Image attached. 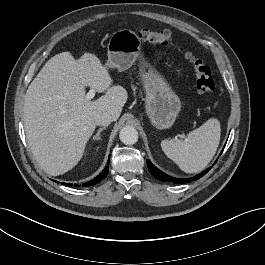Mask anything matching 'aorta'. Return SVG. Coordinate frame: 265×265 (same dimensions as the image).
Here are the masks:
<instances>
[{
	"label": "aorta",
	"mask_w": 265,
	"mask_h": 265,
	"mask_svg": "<svg viewBox=\"0 0 265 265\" xmlns=\"http://www.w3.org/2000/svg\"><path fill=\"white\" fill-rule=\"evenodd\" d=\"M119 137L124 144L132 145L138 141V132L132 126H125L121 129Z\"/></svg>",
	"instance_id": "aorta-1"
}]
</instances>
